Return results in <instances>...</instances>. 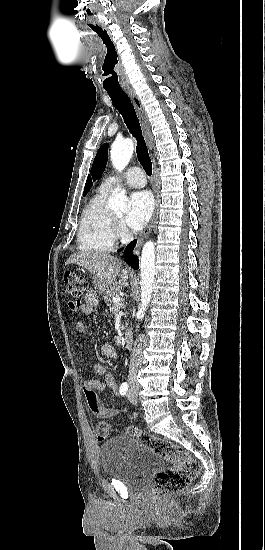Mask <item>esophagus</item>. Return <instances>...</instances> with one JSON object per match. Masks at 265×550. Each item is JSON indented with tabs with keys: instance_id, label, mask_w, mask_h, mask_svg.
Masks as SVG:
<instances>
[{
	"instance_id": "34e87169",
	"label": "esophagus",
	"mask_w": 265,
	"mask_h": 550,
	"mask_svg": "<svg viewBox=\"0 0 265 550\" xmlns=\"http://www.w3.org/2000/svg\"><path fill=\"white\" fill-rule=\"evenodd\" d=\"M127 94L128 96L130 97L133 105L135 106L136 108V111H137V114H138V118H139V122H140V125H141V128H142V131H143V134H144V137H145V140H146V143H147V146L151 152V156L153 158V153H152V149H153V136H152V133L150 131V127H149V124H148V120H147V116H146V112L144 110V107L142 105V102L141 100L139 99V97L137 96V94L135 93V91L133 90H129L127 91ZM156 176H157V170H156V163H155V160L153 158V178H154V186L156 188ZM156 205H158V195H157V200H156ZM156 215H157V209H155V212L153 214V217H152V220L149 224V226L144 230L143 234L141 235V237L139 238L138 240V243H137V246L141 245L142 242L144 241V239L150 234V232L152 231V228L154 227V224H155V220H156Z\"/></svg>"
}]
</instances>
